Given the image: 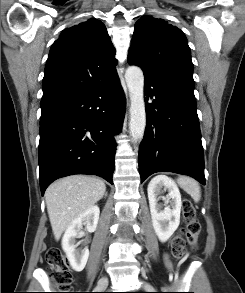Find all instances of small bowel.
I'll return each mask as SVG.
<instances>
[{
	"mask_svg": "<svg viewBox=\"0 0 245 293\" xmlns=\"http://www.w3.org/2000/svg\"><path fill=\"white\" fill-rule=\"evenodd\" d=\"M165 263H166V267L171 270L172 269V264L171 262L168 260V258L165 259Z\"/></svg>",
	"mask_w": 245,
	"mask_h": 293,
	"instance_id": "obj_1",
	"label": "small bowel"
}]
</instances>
